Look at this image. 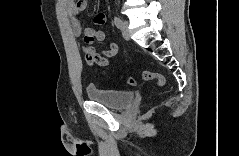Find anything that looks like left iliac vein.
I'll list each match as a JSON object with an SVG mask.
<instances>
[{
	"mask_svg": "<svg viewBox=\"0 0 239 156\" xmlns=\"http://www.w3.org/2000/svg\"><path fill=\"white\" fill-rule=\"evenodd\" d=\"M121 32H122L123 37L126 40L130 39V32H129L128 22L127 21H122Z\"/></svg>",
	"mask_w": 239,
	"mask_h": 156,
	"instance_id": "1",
	"label": "left iliac vein"
}]
</instances>
